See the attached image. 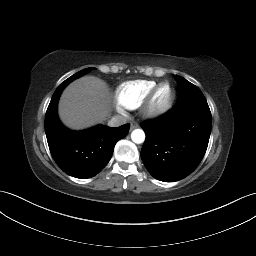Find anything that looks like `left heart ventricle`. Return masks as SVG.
Returning <instances> with one entry per match:
<instances>
[{
    "label": "left heart ventricle",
    "mask_w": 256,
    "mask_h": 256,
    "mask_svg": "<svg viewBox=\"0 0 256 256\" xmlns=\"http://www.w3.org/2000/svg\"><path fill=\"white\" fill-rule=\"evenodd\" d=\"M170 94V89L168 86L163 87L157 94L156 96V103L157 104H162L164 103Z\"/></svg>",
    "instance_id": "left-heart-ventricle-1"
}]
</instances>
